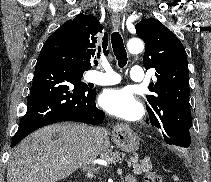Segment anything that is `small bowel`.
<instances>
[{
  "mask_svg": "<svg viewBox=\"0 0 211 182\" xmlns=\"http://www.w3.org/2000/svg\"><path fill=\"white\" fill-rule=\"evenodd\" d=\"M126 182H136V180L134 179L133 176L128 175L127 178H126Z\"/></svg>",
  "mask_w": 211,
  "mask_h": 182,
  "instance_id": "small-bowel-1",
  "label": "small bowel"
}]
</instances>
